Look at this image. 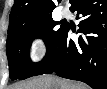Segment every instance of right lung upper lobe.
<instances>
[{
  "label": "right lung upper lobe",
  "mask_w": 107,
  "mask_h": 89,
  "mask_svg": "<svg viewBox=\"0 0 107 89\" xmlns=\"http://www.w3.org/2000/svg\"><path fill=\"white\" fill-rule=\"evenodd\" d=\"M74 1L70 0L71 5ZM54 8L55 4L52 0H15L9 16V27L52 17Z\"/></svg>",
  "instance_id": "right-lung-upper-lobe-1"
}]
</instances>
